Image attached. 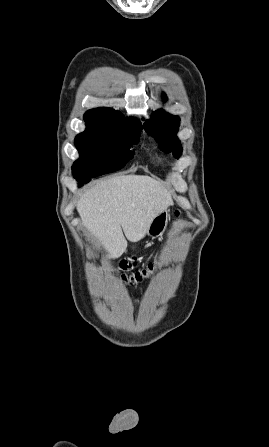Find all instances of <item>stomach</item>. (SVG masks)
<instances>
[{
	"mask_svg": "<svg viewBox=\"0 0 269 447\" xmlns=\"http://www.w3.org/2000/svg\"><path fill=\"white\" fill-rule=\"evenodd\" d=\"M168 216L169 210H163L161 214L155 216L148 227V235H152V237H159V235H162L168 224Z\"/></svg>",
	"mask_w": 269,
	"mask_h": 447,
	"instance_id": "obj_1",
	"label": "stomach"
}]
</instances>
